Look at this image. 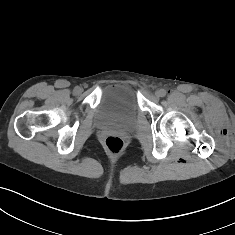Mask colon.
<instances>
[{
  "label": "colon",
  "instance_id": "1",
  "mask_svg": "<svg viewBox=\"0 0 235 235\" xmlns=\"http://www.w3.org/2000/svg\"><path fill=\"white\" fill-rule=\"evenodd\" d=\"M104 145L107 151L114 156L121 154L124 150L123 140L115 135L108 136L104 141Z\"/></svg>",
  "mask_w": 235,
  "mask_h": 235
}]
</instances>
